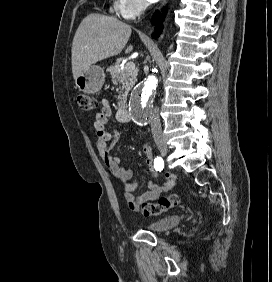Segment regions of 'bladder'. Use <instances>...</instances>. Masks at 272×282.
<instances>
[{"label":"bladder","instance_id":"31cf9c89","mask_svg":"<svg viewBox=\"0 0 272 282\" xmlns=\"http://www.w3.org/2000/svg\"><path fill=\"white\" fill-rule=\"evenodd\" d=\"M180 220H181L180 215H172V216H167L157 221L148 223L144 227L145 229L150 230V231H163L171 227H174L175 225H177L180 222Z\"/></svg>","mask_w":272,"mask_h":282}]
</instances>
